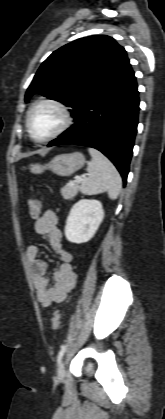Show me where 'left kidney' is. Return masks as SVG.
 Listing matches in <instances>:
<instances>
[{
	"label": "left kidney",
	"instance_id": "5707ae66",
	"mask_svg": "<svg viewBox=\"0 0 165 419\" xmlns=\"http://www.w3.org/2000/svg\"><path fill=\"white\" fill-rule=\"evenodd\" d=\"M104 218L100 201L82 199L73 205L65 226V236L72 243L88 242Z\"/></svg>",
	"mask_w": 165,
	"mask_h": 419
}]
</instances>
